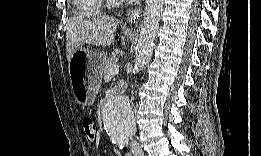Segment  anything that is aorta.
<instances>
[{
    "instance_id": "aorta-1",
    "label": "aorta",
    "mask_w": 261,
    "mask_h": 156,
    "mask_svg": "<svg viewBox=\"0 0 261 156\" xmlns=\"http://www.w3.org/2000/svg\"><path fill=\"white\" fill-rule=\"evenodd\" d=\"M163 12V0H147L144 20L136 46L135 69L141 71L150 62L155 46L156 32ZM104 128L113 140L123 143L136 131L135 114L128 97L116 96L109 99L103 108Z\"/></svg>"
}]
</instances>
